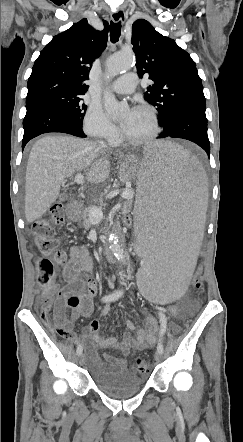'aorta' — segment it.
Listing matches in <instances>:
<instances>
[{
    "label": "aorta",
    "instance_id": "obj_1",
    "mask_svg": "<svg viewBox=\"0 0 243 442\" xmlns=\"http://www.w3.org/2000/svg\"><path fill=\"white\" fill-rule=\"evenodd\" d=\"M134 65V58L130 52L113 54L107 62V73L110 77H114L131 69ZM104 106L108 115L117 116L120 112L126 110L128 105L126 102H119L110 92L104 93ZM111 251L118 260H125V252L120 245L116 233L108 232L107 234Z\"/></svg>",
    "mask_w": 243,
    "mask_h": 442
}]
</instances>
